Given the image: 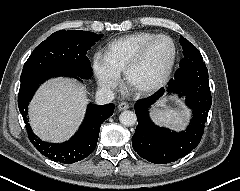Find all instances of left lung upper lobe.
<instances>
[{
    "mask_svg": "<svg viewBox=\"0 0 240 191\" xmlns=\"http://www.w3.org/2000/svg\"><path fill=\"white\" fill-rule=\"evenodd\" d=\"M179 41L182 45L184 54V58L182 59L180 65L188 72H207L201 53L196 49V47L182 36Z\"/></svg>",
    "mask_w": 240,
    "mask_h": 191,
    "instance_id": "5c2ea615",
    "label": "left lung upper lobe"
}]
</instances>
